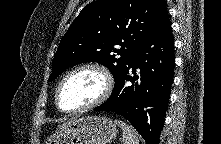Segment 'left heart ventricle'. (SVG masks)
<instances>
[{"mask_svg":"<svg viewBox=\"0 0 221 144\" xmlns=\"http://www.w3.org/2000/svg\"><path fill=\"white\" fill-rule=\"evenodd\" d=\"M104 81L94 70H82L72 75L63 85L60 95L62 107L78 108L94 101L102 92Z\"/></svg>","mask_w":221,"mask_h":144,"instance_id":"1","label":"left heart ventricle"}]
</instances>
